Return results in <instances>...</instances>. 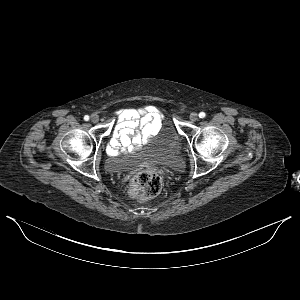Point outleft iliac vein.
<instances>
[{
	"instance_id": "obj_1",
	"label": "left iliac vein",
	"mask_w": 300,
	"mask_h": 300,
	"mask_svg": "<svg viewBox=\"0 0 300 300\" xmlns=\"http://www.w3.org/2000/svg\"><path fill=\"white\" fill-rule=\"evenodd\" d=\"M189 119L192 121V122H195L198 120V114L195 113V112H192L189 116Z\"/></svg>"
}]
</instances>
